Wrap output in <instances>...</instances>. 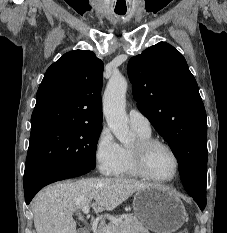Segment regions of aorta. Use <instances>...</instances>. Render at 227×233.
Here are the masks:
<instances>
[{"instance_id": "obj_1", "label": "aorta", "mask_w": 227, "mask_h": 233, "mask_svg": "<svg viewBox=\"0 0 227 233\" xmlns=\"http://www.w3.org/2000/svg\"><path fill=\"white\" fill-rule=\"evenodd\" d=\"M127 86L124 76L114 74L109 79L103 96V112L107 124L122 144H128L134 140V134L129 130V120L125 111Z\"/></svg>"}]
</instances>
